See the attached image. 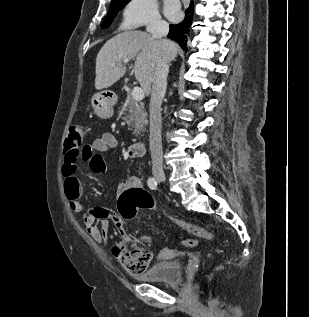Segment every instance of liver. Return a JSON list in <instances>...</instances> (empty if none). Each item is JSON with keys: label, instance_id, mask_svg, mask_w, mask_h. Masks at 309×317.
Instances as JSON below:
<instances>
[{"label": "liver", "instance_id": "1", "mask_svg": "<svg viewBox=\"0 0 309 317\" xmlns=\"http://www.w3.org/2000/svg\"><path fill=\"white\" fill-rule=\"evenodd\" d=\"M171 43L174 48L169 56V62L176 57L178 51L177 45ZM162 52L161 41L146 32L126 31L119 33L103 45L96 57L95 88L103 89L116 83L126 72L123 61L136 57L135 78L145 95H149L156 64Z\"/></svg>", "mask_w": 309, "mask_h": 317}]
</instances>
